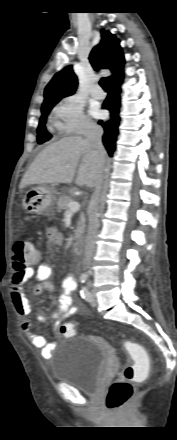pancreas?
<instances>
[{"label": "pancreas", "instance_id": "pancreas-1", "mask_svg": "<svg viewBox=\"0 0 177 440\" xmlns=\"http://www.w3.org/2000/svg\"><path fill=\"white\" fill-rule=\"evenodd\" d=\"M73 202V199L69 196H62L57 201V211L66 209L69 203ZM85 229V215L83 213L80 214V221L77 224V228L75 230L74 238L77 239L81 236Z\"/></svg>", "mask_w": 177, "mask_h": 440}]
</instances>
